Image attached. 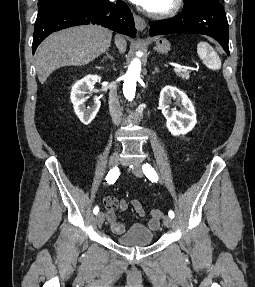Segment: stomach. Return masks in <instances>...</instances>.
I'll list each match as a JSON object with an SVG mask.
<instances>
[{"label":"stomach","mask_w":255,"mask_h":287,"mask_svg":"<svg viewBox=\"0 0 255 287\" xmlns=\"http://www.w3.org/2000/svg\"><path fill=\"white\" fill-rule=\"evenodd\" d=\"M155 50H157V52H161V54H167V52L170 50V44L168 40H164V38H158V40H156Z\"/></svg>","instance_id":"1"}]
</instances>
